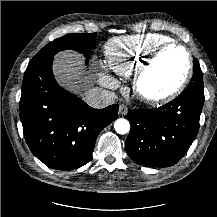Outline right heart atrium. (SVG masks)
<instances>
[{"instance_id": "right-heart-atrium-1", "label": "right heart atrium", "mask_w": 217, "mask_h": 217, "mask_svg": "<svg viewBox=\"0 0 217 217\" xmlns=\"http://www.w3.org/2000/svg\"><path fill=\"white\" fill-rule=\"evenodd\" d=\"M99 82L101 84H103L107 87H111V88H114L118 85L117 80L106 73H101L99 75Z\"/></svg>"}]
</instances>
